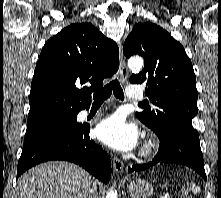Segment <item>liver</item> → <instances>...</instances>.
Returning a JSON list of instances; mask_svg holds the SVG:
<instances>
[{
  "instance_id": "1",
  "label": "liver",
  "mask_w": 221,
  "mask_h": 198,
  "mask_svg": "<svg viewBox=\"0 0 221 198\" xmlns=\"http://www.w3.org/2000/svg\"><path fill=\"white\" fill-rule=\"evenodd\" d=\"M92 183L91 175L75 164L47 162L19 178L15 198H87Z\"/></svg>"
}]
</instances>
